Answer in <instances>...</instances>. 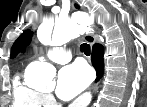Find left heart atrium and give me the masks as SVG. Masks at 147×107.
<instances>
[{
    "label": "left heart atrium",
    "instance_id": "39dd6f15",
    "mask_svg": "<svg viewBox=\"0 0 147 107\" xmlns=\"http://www.w3.org/2000/svg\"><path fill=\"white\" fill-rule=\"evenodd\" d=\"M92 79L90 69L82 63L62 68L58 74L56 94L62 100H70L81 93Z\"/></svg>",
    "mask_w": 147,
    "mask_h": 107
}]
</instances>
